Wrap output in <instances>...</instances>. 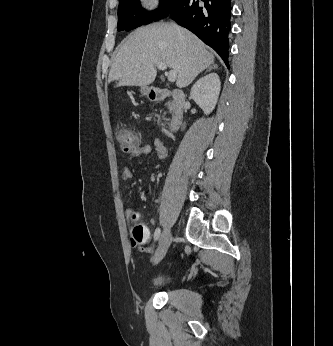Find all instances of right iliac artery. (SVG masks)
I'll list each match as a JSON object with an SVG mask.
<instances>
[{
    "instance_id": "1",
    "label": "right iliac artery",
    "mask_w": 333,
    "mask_h": 346,
    "mask_svg": "<svg viewBox=\"0 0 333 346\" xmlns=\"http://www.w3.org/2000/svg\"><path fill=\"white\" fill-rule=\"evenodd\" d=\"M160 234H161V230H160V228H157V229L155 230V233H154V240H155V241H157V240L159 239Z\"/></svg>"
}]
</instances>
